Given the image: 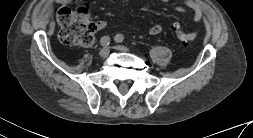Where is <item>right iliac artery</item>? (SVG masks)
Instances as JSON below:
<instances>
[{"label": "right iliac artery", "mask_w": 253, "mask_h": 138, "mask_svg": "<svg viewBox=\"0 0 253 138\" xmlns=\"http://www.w3.org/2000/svg\"><path fill=\"white\" fill-rule=\"evenodd\" d=\"M110 42H111V39L109 36H103L100 40L101 45L105 47L108 46Z\"/></svg>", "instance_id": "right-iliac-artery-1"}]
</instances>
